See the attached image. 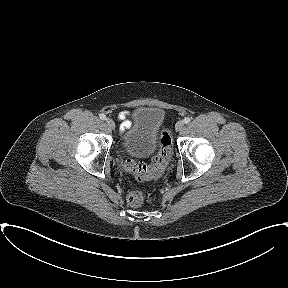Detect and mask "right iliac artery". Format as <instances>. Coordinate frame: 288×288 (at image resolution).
<instances>
[{
    "mask_svg": "<svg viewBox=\"0 0 288 288\" xmlns=\"http://www.w3.org/2000/svg\"><path fill=\"white\" fill-rule=\"evenodd\" d=\"M99 117H100L101 120H105L106 119V116L104 114H100Z\"/></svg>",
    "mask_w": 288,
    "mask_h": 288,
    "instance_id": "right-iliac-artery-1",
    "label": "right iliac artery"
}]
</instances>
